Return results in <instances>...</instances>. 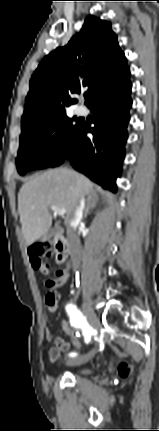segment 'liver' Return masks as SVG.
<instances>
[{
	"label": "liver",
	"instance_id": "1",
	"mask_svg": "<svg viewBox=\"0 0 159 431\" xmlns=\"http://www.w3.org/2000/svg\"><path fill=\"white\" fill-rule=\"evenodd\" d=\"M94 184L71 169L48 170L29 179L18 194V212L26 245L33 244L50 229V206L66 210L64 224L75 215L80 199L93 192Z\"/></svg>",
	"mask_w": 159,
	"mask_h": 431
}]
</instances>
